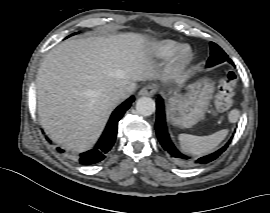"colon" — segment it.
<instances>
[{
  "mask_svg": "<svg viewBox=\"0 0 270 213\" xmlns=\"http://www.w3.org/2000/svg\"><path fill=\"white\" fill-rule=\"evenodd\" d=\"M236 85L237 76L235 72L228 71L223 74L213 96V102L216 110L224 111L233 105Z\"/></svg>",
  "mask_w": 270,
  "mask_h": 213,
  "instance_id": "5ec220e1",
  "label": "colon"
}]
</instances>
